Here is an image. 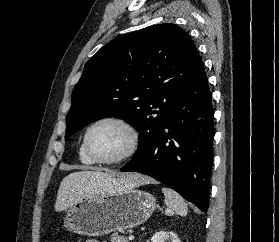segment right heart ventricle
<instances>
[{
	"label": "right heart ventricle",
	"instance_id": "e07e8e85",
	"mask_svg": "<svg viewBox=\"0 0 279 242\" xmlns=\"http://www.w3.org/2000/svg\"><path fill=\"white\" fill-rule=\"evenodd\" d=\"M78 159L81 163L85 165H92L93 162L88 158L86 155L84 148H83V142L80 144L79 149H78Z\"/></svg>",
	"mask_w": 279,
	"mask_h": 242
}]
</instances>
